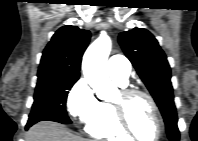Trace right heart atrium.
Instances as JSON below:
<instances>
[{
  "instance_id": "obj_1",
  "label": "right heart atrium",
  "mask_w": 198,
  "mask_h": 141,
  "mask_svg": "<svg viewBox=\"0 0 198 141\" xmlns=\"http://www.w3.org/2000/svg\"><path fill=\"white\" fill-rule=\"evenodd\" d=\"M99 101L88 81L80 78L69 90L66 108L70 118L78 123H88L96 114Z\"/></svg>"
}]
</instances>
